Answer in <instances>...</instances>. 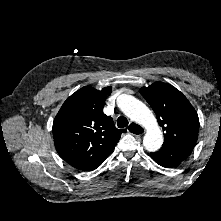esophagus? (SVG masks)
<instances>
[{
  "mask_svg": "<svg viewBox=\"0 0 221 221\" xmlns=\"http://www.w3.org/2000/svg\"><path fill=\"white\" fill-rule=\"evenodd\" d=\"M127 130L130 134L135 136H141L144 134V129L133 122L130 124Z\"/></svg>",
  "mask_w": 221,
  "mask_h": 221,
  "instance_id": "obj_1",
  "label": "esophagus"
}]
</instances>
